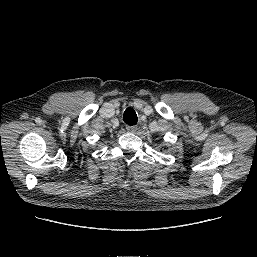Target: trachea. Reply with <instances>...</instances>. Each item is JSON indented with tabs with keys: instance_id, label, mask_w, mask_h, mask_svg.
I'll return each mask as SVG.
<instances>
[{
	"instance_id": "3493384b",
	"label": "trachea",
	"mask_w": 257,
	"mask_h": 257,
	"mask_svg": "<svg viewBox=\"0 0 257 257\" xmlns=\"http://www.w3.org/2000/svg\"><path fill=\"white\" fill-rule=\"evenodd\" d=\"M137 114L132 108H127L123 115V121L128 125H135L137 123Z\"/></svg>"
}]
</instances>
